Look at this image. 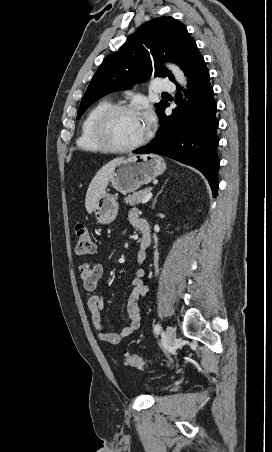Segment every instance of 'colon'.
Here are the masks:
<instances>
[{"label": "colon", "mask_w": 272, "mask_h": 452, "mask_svg": "<svg viewBox=\"0 0 272 452\" xmlns=\"http://www.w3.org/2000/svg\"><path fill=\"white\" fill-rule=\"evenodd\" d=\"M77 243L75 252L79 256L91 255L95 252V244L93 236L87 226L83 223H78L75 227ZM125 363L129 366L141 368L146 364V361L138 354L128 353L126 355Z\"/></svg>", "instance_id": "1"}]
</instances>
